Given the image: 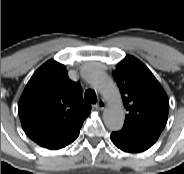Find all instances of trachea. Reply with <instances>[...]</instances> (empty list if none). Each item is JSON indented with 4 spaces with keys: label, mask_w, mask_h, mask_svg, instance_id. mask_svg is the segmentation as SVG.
I'll list each match as a JSON object with an SVG mask.
<instances>
[{
    "label": "trachea",
    "mask_w": 184,
    "mask_h": 174,
    "mask_svg": "<svg viewBox=\"0 0 184 174\" xmlns=\"http://www.w3.org/2000/svg\"><path fill=\"white\" fill-rule=\"evenodd\" d=\"M97 101L96 93L92 89L85 91V102L89 104H95Z\"/></svg>",
    "instance_id": "1"
}]
</instances>
